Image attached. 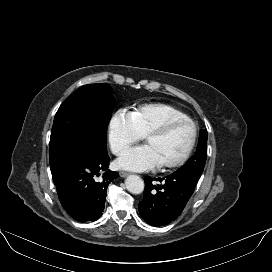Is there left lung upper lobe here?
<instances>
[{
  "label": "left lung upper lobe",
  "instance_id": "1",
  "mask_svg": "<svg viewBox=\"0 0 272 272\" xmlns=\"http://www.w3.org/2000/svg\"><path fill=\"white\" fill-rule=\"evenodd\" d=\"M207 137V130H201L195 155L191 157L184 166L178 169L177 172H193L199 175L202 174L207 156Z\"/></svg>",
  "mask_w": 272,
  "mask_h": 272
}]
</instances>
